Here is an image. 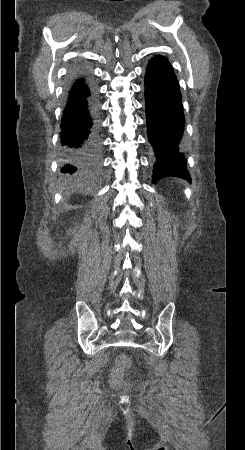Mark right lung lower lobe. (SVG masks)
<instances>
[{
  "mask_svg": "<svg viewBox=\"0 0 245 450\" xmlns=\"http://www.w3.org/2000/svg\"><path fill=\"white\" fill-rule=\"evenodd\" d=\"M63 173L90 175L100 169L98 105L94 88L76 73L67 92L62 117Z\"/></svg>",
  "mask_w": 245,
  "mask_h": 450,
  "instance_id": "right-lung-lower-lobe-1",
  "label": "right lung lower lobe"
}]
</instances>
